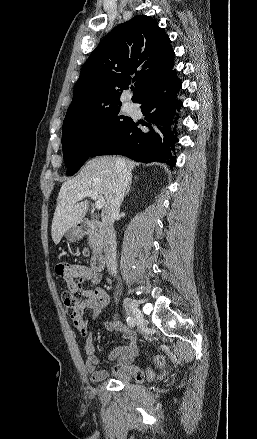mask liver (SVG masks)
Segmentation results:
<instances>
[{
    "label": "liver",
    "instance_id": "1",
    "mask_svg": "<svg viewBox=\"0 0 257 439\" xmlns=\"http://www.w3.org/2000/svg\"><path fill=\"white\" fill-rule=\"evenodd\" d=\"M117 160L116 157L108 156L91 159L75 178L62 184L51 227V235L55 244L60 242L68 229L82 221L88 210L87 200L75 202L77 194L90 190L97 191L106 199V205L117 179ZM125 162L128 170L131 171L135 163Z\"/></svg>",
    "mask_w": 257,
    "mask_h": 439
}]
</instances>
